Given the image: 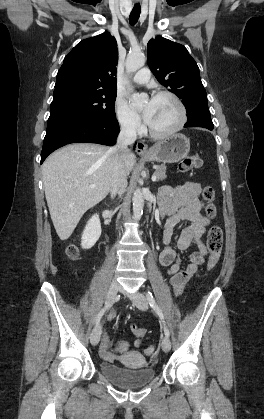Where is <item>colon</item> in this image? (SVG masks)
I'll list each match as a JSON object with an SVG mask.
<instances>
[{"label":"colon","mask_w":264,"mask_h":419,"mask_svg":"<svg viewBox=\"0 0 264 419\" xmlns=\"http://www.w3.org/2000/svg\"><path fill=\"white\" fill-rule=\"evenodd\" d=\"M201 164L202 161L198 155L187 156L178 163V171L181 173H191L199 168ZM202 194L207 202L206 213L210 218H214L216 216V209L213 204L214 191L211 187L207 186L204 188ZM206 245L209 252L207 269L211 271L218 262L223 245V232L218 225H214L209 229ZM67 254L70 258H76L78 256V249L75 246H70L67 250ZM145 353L149 357H154L156 356L157 351L154 346H149L146 348Z\"/></svg>","instance_id":"obj_1"}]
</instances>
